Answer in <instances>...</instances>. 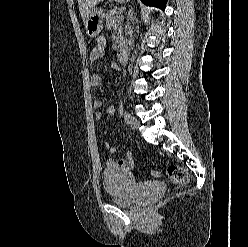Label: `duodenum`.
Wrapping results in <instances>:
<instances>
[{"mask_svg":"<svg viewBox=\"0 0 248 247\" xmlns=\"http://www.w3.org/2000/svg\"><path fill=\"white\" fill-rule=\"evenodd\" d=\"M128 60V52L125 50H122L119 54V61L121 64H125Z\"/></svg>","mask_w":248,"mask_h":247,"instance_id":"obj_1","label":"duodenum"}]
</instances>
